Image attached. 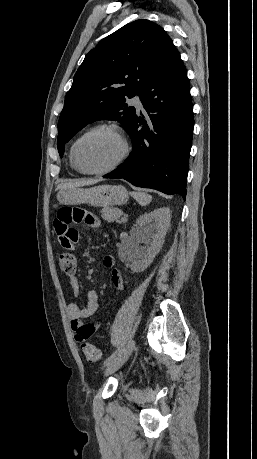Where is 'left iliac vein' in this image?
Returning a JSON list of instances; mask_svg holds the SVG:
<instances>
[{"label":"left iliac vein","instance_id":"1","mask_svg":"<svg viewBox=\"0 0 257 459\" xmlns=\"http://www.w3.org/2000/svg\"><path fill=\"white\" fill-rule=\"evenodd\" d=\"M135 344V341H130L127 344L122 353L113 362H111V364H109L106 367L104 371L105 376H108L117 371L127 361V359L129 358V356L135 348Z\"/></svg>","mask_w":257,"mask_h":459}]
</instances>
